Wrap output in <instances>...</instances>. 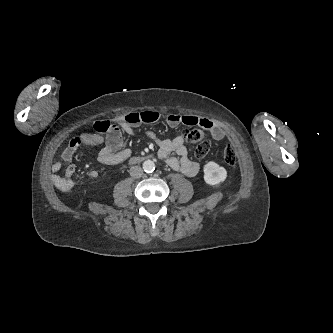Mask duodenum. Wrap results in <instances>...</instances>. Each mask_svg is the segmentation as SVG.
Returning <instances> with one entry per match:
<instances>
[{"label": "duodenum", "mask_w": 333, "mask_h": 333, "mask_svg": "<svg viewBox=\"0 0 333 333\" xmlns=\"http://www.w3.org/2000/svg\"><path fill=\"white\" fill-rule=\"evenodd\" d=\"M142 160H143V158H142V157H139V156H137V157H132V158L129 160V163H130V164H136V163L141 162Z\"/></svg>", "instance_id": "410a0bca"}]
</instances>
